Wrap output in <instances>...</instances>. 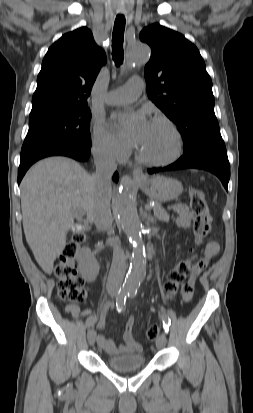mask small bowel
Here are the masks:
<instances>
[{
	"label": "small bowel",
	"instance_id": "c3829d8e",
	"mask_svg": "<svg viewBox=\"0 0 253 413\" xmlns=\"http://www.w3.org/2000/svg\"><path fill=\"white\" fill-rule=\"evenodd\" d=\"M173 210L177 214V225L180 228L188 229L192 225L193 214L189 211L188 207L184 204H176L173 206ZM219 251V245L210 241L207 243L203 258L194 266L192 273H187L185 278L181 282L180 286V295L184 300L185 304H190L194 298L196 292L194 283L196 277L203 271V269L208 265L209 261L216 256ZM109 304H103L99 309V323L98 327L102 328V320L106 316L107 312L110 309ZM66 312L71 315L72 318H80V309L79 306L71 304L66 307ZM86 319V324L88 321L95 319L96 316L90 311H86L82 315ZM133 318H130L125 326L123 333V339L125 345L117 346L115 342L111 339L106 338L103 335H98L96 340L97 344L108 354L118 355L122 353H140L143 350L142 345L134 338L133 336Z\"/></svg>",
	"mask_w": 253,
	"mask_h": 413
}]
</instances>
